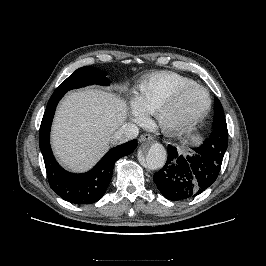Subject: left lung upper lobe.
<instances>
[{
    "instance_id": "1",
    "label": "left lung upper lobe",
    "mask_w": 266,
    "mask_h": 266,
    "mask_svg": "<svg viewBox=\"0 0 266 266\" xmlns=\"http://www.w3.org/2000/svg\"><path fill=\"white\" fill-rule=\"evenodd\" d=\"M214 102L213 131L210 134V137L205 140V144H210L215 139H224L225 141H228L227 124L224 117L222 105L218 98H215Z\"/></svg>"
}]
</instances>
